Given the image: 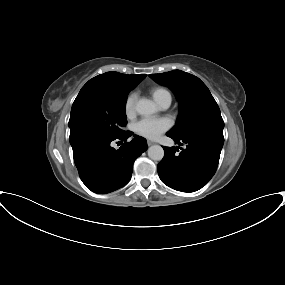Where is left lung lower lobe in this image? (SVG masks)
Wrapping results in <instances>:
<instances>
[{
    "instance_id": "1",
    "label": "left lung lower lobe",
    "mask_w": 285,
    "mask_h": 285,
    "mask_svg": "<svg viewBox=\"0 0 285 285\" xmlns=\"http://www.w3.org/2000/svg\"><path fill=\"white\" fill-rule=\"evenodd\" d=\"M167 136L179 145L184 142L187 148L178 154V148L163 147L165 155L157 168L160 179L178 191L199 190L215 174L224 143L223 135L201 132L185 138L168 133Z\"/></svg>"
}]
</instances>
